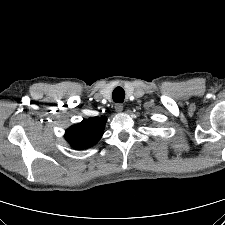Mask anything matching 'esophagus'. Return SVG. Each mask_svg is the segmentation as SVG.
Segmentation results:
<instances>
[{
  "label": "esophagus",
  "mask_w": 225,
  "mask_h": 225,
  "mask_svg": "<svg viewBox=\"0 0 225 225\" xmlns=\"http://www.w3.org/2000/svg\"><path fill=\"white\" fill-rule=\"evenodd\" d=\"M115 110H116L117 112H122V111H123V104H121V103H116V104H115Z\"/></svg>",
  "instance_id": "obj_1"
}]
</instances>
